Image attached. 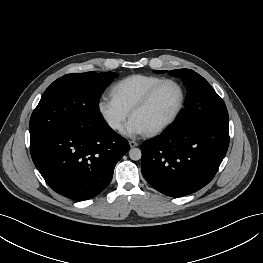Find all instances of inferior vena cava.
I'll use <instances>...</instances> for the list:
<instances>
[{
    "label": "inferior vena cava",
    "instance_id": "inferior-vena-cava-1",
    "mask_svg": "<svg viewBox=\"0 0 263 263\" xmlns=\"http://www.w3.org/2000/svg\"><path fill=\"white\" fill-rule=\"evenodd\" d=\"M110 126L114 129H118L120 127V123L117 121L111 122Z\"/></svg>",
    "mask_w": 263,
    "mask_h": 263
}]
</instances>
